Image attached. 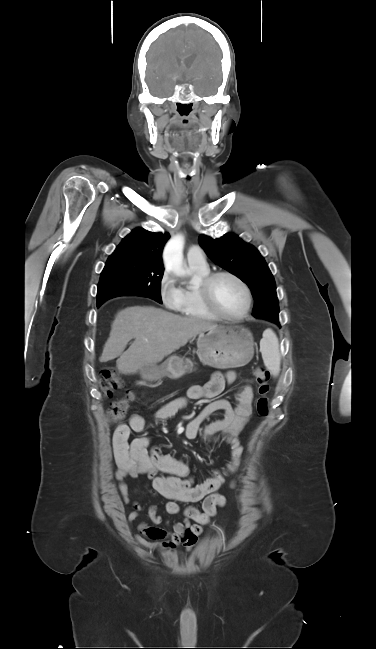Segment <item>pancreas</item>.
Segmentation results:
<instances>
[{
    "mask_svg": "<svg viewBox=\"0 0 376 649\" xmlns=\"http://www.w3.org/2000/svg\"><path fill=\"white\" fill-rule=\"evenodd\" d=\"M188 363H189V365H188L189 368L188 369H189L190 372H192L193 364H192L191 361H188Z\"/></svg>",
    "mask_w": 376,
    "mask_h": 649,
    "instance_id": "obj_1",
    "label": "pancreas"
}]
</instances>
